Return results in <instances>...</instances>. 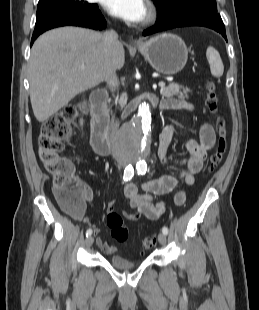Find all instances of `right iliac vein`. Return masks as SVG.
I'll list each match as a JSON object with an SVG mask.
<instances>
[{
    "label": "right iliac vein",
    "instance_id": "obj_1",
    "mask_svg": "<svg viewBox=\"0 0 259 310\" xmlns=\"http://www.w3.org/2000/svg\"><path fill=\"white\" fill-rule=\"evenodd\" d=\"M93 242H94V238H93V236L90 235V236L87 237V239L85 241V244H86L87 247H91Z\"/></svg>",
    "mask_w": 259,
    "mask_h": 310
}]
</instances>
